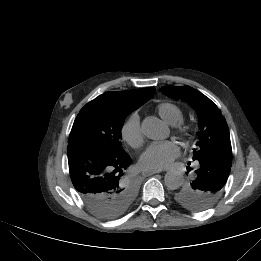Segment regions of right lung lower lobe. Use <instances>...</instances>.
I'll return each instance as SVG.
<instances>
[{
    "instance_id": "obj_1",
    "label": "right lung lower lobe",
    "mask_w": 261,
    "mask_h": 261,
    "mask_svg": "<svg viewBox=\"0 0 261 261\" xmlns=\"http://www.w3.org/2000/svg\"><path fill=\"white\" fill-rule=\"evenodd\" d=\"M131 162L127 154L103 153L89 142L68 144L71 180L83 201H91L99 191L118 185Z\"/></svg>"
}]
</instances>
